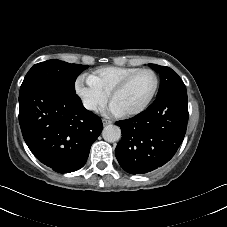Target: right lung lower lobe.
Segmentation results:
<instances>
[{"mask_svg":"<svg viewBox=\"0 0 227 227\" xmlns=\"http://www.w3.org/2000/svg\"><path fill=\"white\" fill-rule=\"evenodd\" d=\"M19 123L31 152L59 173L82 168L103 129L76 93L47 82L19 93Z\"/></svg>","mask_w":227,"mask_h":227,"instance_id":"obj_1","label":"right lung lower lobe"}]
</instances>
